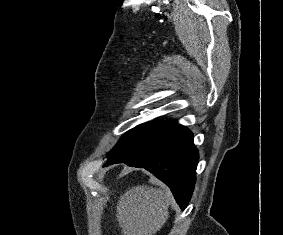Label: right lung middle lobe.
<instances>
[{"label": "right lung middle lobe", "mask_w": 283, "mask_h": 235, "mask_svg": "<svg viewBox=\"0 0 283 235\" xmlns=\"http://www.w3.org/2000/svg\"><path fill=\"white\" fill-rule=\"evenodd\" d=\"M177 126V122L144 124L130 130L108 154V163H118L145 152L165 138Z\"/></svg>", "instance_id": "obj_1"}]
</instances>
